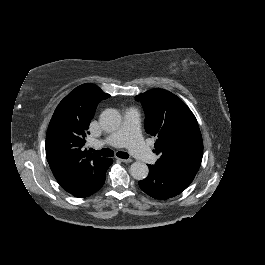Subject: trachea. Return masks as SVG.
I'll return each instance as SVG.
<instances>
[{"label":"trachea","mask_w":265,"mask_h":265,"mask_svg":"<svg viewBox=\"0 0 265 265\" xmlns=\"http://www.w3.org/2000/svg\"><path fill=\"white\" fill-rule=\"evenodd\" d=\"M89 150L91 152H95L96 154L101 155V156H105V157L113 156V151L110 150L109 148H105V149H101V150H95V149L90 148ZM116 155L122 159H128L129 158V154L127 152H117Z\"/></svg>","instance_id":"obj_1"}]
</instances>
